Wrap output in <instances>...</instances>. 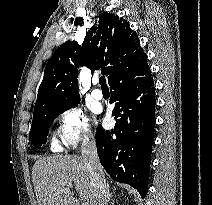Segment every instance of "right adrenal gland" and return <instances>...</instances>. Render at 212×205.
I'll use <instances>...</instances> for the list:
<instances>
[{"mask_svg":"<svg viewBox=\"0 0 212 205\" xmlns=\"http://www.w3.org/2000/svg\"><path fill=\"white\" fill-rule=\"evenodd\" d=\"M106 191H107V203H108L110 202L112 197V193H110V190H109V184H107Z\"/></svg>","mask_w":212,"mask_h":205,"instance_id":"obj_1","label":"right adrenal gland"}]
</instances>
